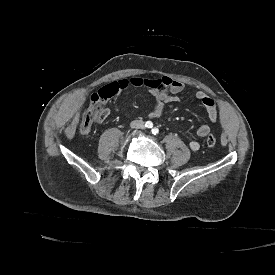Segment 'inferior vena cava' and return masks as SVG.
Returning <instances> with one entry per match:
<instances>
[{"instance_id": "inferior-vena-cava-1", "label": "inferior vena cava", "mask_w": 275, "mask_h": 275, "mask_svg": "<svg viewBox=\"0 0 275 275\" xmlns=\"http://www.w3.org/2000/svg\"><path fill=\"white\" fill-rule=\"evenodd\" d=\"M131 128L141 129L144 127V122L142 120H134L130 123Z\"/></svg>"}]
</instances>
